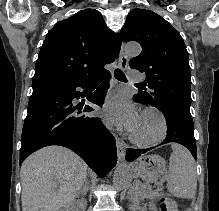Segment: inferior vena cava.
<instances>
[{"label":"inferior vena cava","mask_w":219,"mask_h":211,"mask_svg":"<svg viewBox=\"0 0 219 211\" xmlns=\"http://www.w3.org/2000/svg\"><path fill=\"white\" fill-rule=\"evenodd\" d=\"M87 178L91 179L90 181L93 183L95 181L94 179L98 178V175L97 174H88Z\"/></svg>","instance_id":"602c4592"}]
</instances>
